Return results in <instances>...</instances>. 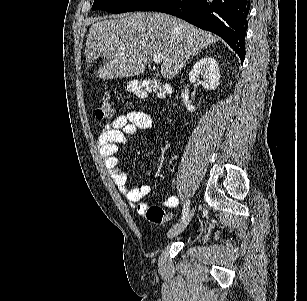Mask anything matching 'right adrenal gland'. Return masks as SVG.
I'll list each match as a JSON object with an SVG mask.
<instances>
[{
    "label": "right adrenal gland",
    "mask_w": 307,
    "mask_h": 301,
    "mask_svg": "<svg viewBox=\"0 0 307 301\" xmlns=\"http://www.w3.org/2000/svg\"><path fill=\"white\" fill-rule=\"evenodd\" d=\"M199 52H202V50H198V52H195V54H199ZM195 54H192V56H190V58H193V56H195Z\"/></svg>",
    "instance_id": "right-adrenal-gland-1"
}]
</instances>
